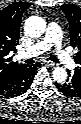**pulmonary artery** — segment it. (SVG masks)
Masks as SVG:
<instances>
[{
	"label": "pulmonary artery",
	"mask_w": 81,
	"mask_h": 124,
	"mask_svg": "<svg viewBox=\"0 0 81 124\" xmlns=\"http://www.w3.org/2000/svg\"><path fill=\"white\" fill-rule=\"evenodd\" d=\"M51 47L55 48L56 56L60 62L69 68H74L75 63L70 53L62 45V32L59 25L55 22L49 23L44 37L31 46L27 51L20 54V57L36 56L44 53Z\"/></svg>",
	"instance_id": "e3ab8cb5"
}]
</instances>
